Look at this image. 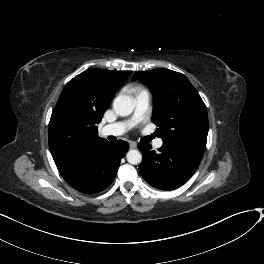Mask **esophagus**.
<instances>
[{"label": "esophagus", "mask_w": 264, "mask_h": 264, "mask_svg": "<svg viewBox=\"0 0 264 264\" xmlns=\"http://www.w3.org/2000/svg\"><path fill=\"white\" fill-rule=\"evenodd\" d=\"M129 145L131 149L137 148V144L135 142H130Z\"/></svg>", "instance_id": "obj_1"}]
</instances>
